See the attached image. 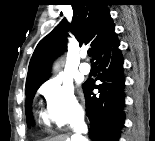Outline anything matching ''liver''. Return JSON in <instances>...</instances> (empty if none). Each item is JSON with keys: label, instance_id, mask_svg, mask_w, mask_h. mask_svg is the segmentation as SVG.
<instances>
[{"label": "liver", "instance_id": "1", "mask_svg": "<svg viewBox=\"0 0 155 141\" xmlns=\"http://www.w3.org/2000/svg\"><path fill=\"white\" fill-rule=\"evenodd\" d=\"M47 141H70V139L66 135H59V136L50 138Z\"/></svg>", "mask_w": 155, "mask_h": 141}]
</instances>
